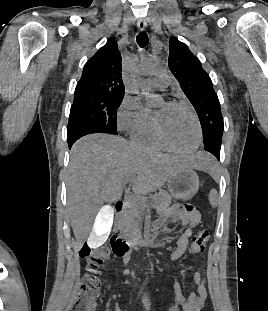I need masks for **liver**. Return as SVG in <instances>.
I'll return each instance as SVG.
<instances>
[{
	"label": "liver",
	"mask_w": 268,
	"mask_h": 311,
	"mask_svg": "<svg viewBox=\"0 0 268 311\" xmlns=\"http://www.w3.org/2000/svg\"><path fill=\"white\" fill-rule=\"evenodd\" d=\"M210 160L203 152L182 159L137 148L114 135L90 134L81 138L71 149L67 178V204L77 245L81 247L94 235L103 204L122 197L126 178H135V194H147L159 190L178 169L205 170ZM108 210L105 208L103 213Z\"/></svg>",
	"instance_id": "6515ba94"
}]
</instances>
